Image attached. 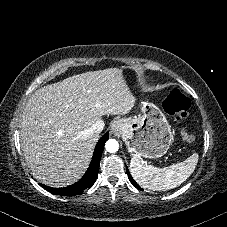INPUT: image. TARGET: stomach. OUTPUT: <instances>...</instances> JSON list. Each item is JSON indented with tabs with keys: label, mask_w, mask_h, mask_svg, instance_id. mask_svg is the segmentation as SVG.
Here are the masks:
<instances>
[{
	"label": "stomach",
	"mask_w": 227,
	"mask_h": 227,
	"mask_svg": "<svg viewBox=\"0 0 227 227\" xmlns=\"http://www.w3.org/2000/svg\"><path fill=\"white\" fill-rule=\"evenodd\" d=\"M120 134L130 152L144 158H159L166 154L173 135L163 112L153 103L142 102L141 114L121 119Z\"/></svg>",
	"instance_id": "1"
}]
</instances>
